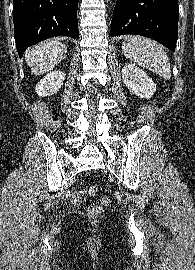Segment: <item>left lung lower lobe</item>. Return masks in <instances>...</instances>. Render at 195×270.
Segmentation results:
<instances>
[{"mask_svg":"<svg viewBox=\"0 0 195 270\" xmlns=\"http://www.w3.org/2000/svg\"><path fill=\"white\" fill-rule=\"evenodd\" d=\"M178 0H117L110 36L137 34L175 51Z\"/></svg>","mask_w":195,"mask_h":270,"instance_id":"1","label":"left lung lower lobe"}]
</instances>
